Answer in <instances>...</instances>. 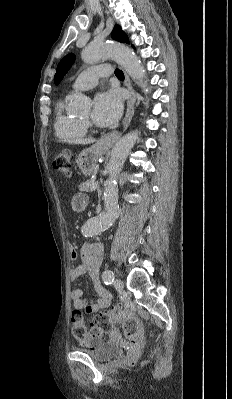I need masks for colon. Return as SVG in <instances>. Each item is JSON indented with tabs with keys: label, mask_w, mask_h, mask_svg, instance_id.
Listing matches in <instances>:
<instances>
[{
	"label": "colon",
	"mask_w": 232,
	"mask_h": 399,
	"mask_svg": "<svg viewBox=\"0 0 232 399\" xmlns=\"http://www.w3.org/2000/svg\"><path fill=\"white\" fill-rule=\"evenodd\" d=\"M55 168H61L62 173H68L73 176V156L70 151L62 152L56 155V160H52ZM71 336L78 338L80 347H96L95 341H102L100 335H112L113 330L110 324H122L125 330V337H132L133 340H127L123 348L124 353H139L142 345L144 332L143 321L138 317V313H129V308H116V313H101V317H94L93 322H87L86 325H76L81 323V311L72 313ZM96 324V325H95Z\"/></svg>",
	"instance_id": "5ec220e1"
}]
</instances>
